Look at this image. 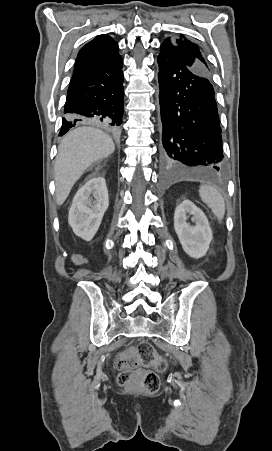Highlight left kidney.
<instances>
[{"instance_id":"obj_1","label":"left kidney","mask_w":272,"mask_h":451,"mask_svg":"<svg viewBox=\"0 0 272 451\" xmlns=\"http://www.w3.org/2000/svg\"><path fill=\"white\" fill-rule=\"evenodd\" d=\"M193 216L195 226L187 224V216ZM174 229L181 241V245L190 257H202L209 249L213 237L209 222L200 208L190 200H184L177 206L174 214Z\"/></svg>"}]
</instances>
